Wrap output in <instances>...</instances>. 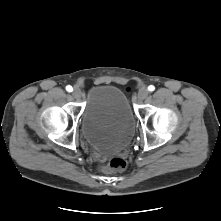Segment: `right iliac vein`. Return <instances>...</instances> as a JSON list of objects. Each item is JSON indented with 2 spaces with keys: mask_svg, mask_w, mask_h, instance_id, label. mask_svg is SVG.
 I'll return each mask as SVG.
<instances>
[{
  "mask_svg": "<svg viewBox=\"0 0 221 221\" xmlns=\"http://www.w3.org/2000/svg\"><path fill=\"white\" fill-rule=\"evenodd\" d=\"M81 90L79 88H74L72 95L74 98L79 99L81 97Z\"/></svg>",
  "mask_w": 221,
  "mask_h": 221,
  "instance_id": "63e3f726",
  "label": "right iliac vein"
}]
</instances>
